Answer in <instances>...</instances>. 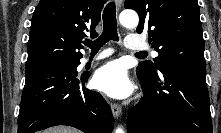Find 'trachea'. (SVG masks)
I'll list each match as a JSON object with an SVG mask.
<instances>
[{
	"mask_svg": "<svg viewBox=\"0 0 221 133\" xmlns=\"http://www.w3.org/2000/svg\"><path fill=\"white\" fill-rule=\"evenodd\" d=\"M109 40L118 41L116 7L113 2L106 5L103 11V32L96 40H86L84 44L88 46L92 52H97ZM145 57L147 54L140 52L136 54Z\"/></svg>",
	"mask_w": 221,
	"mask_h": 133,
	"instance_id": "3493384b",
	"label": "trachea"
}]
</instances>
